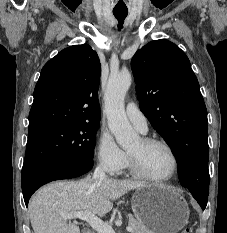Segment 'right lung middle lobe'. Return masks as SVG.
Returning a JSON list of instances; mask_svg holds the SVG:
<instances>
[{
  "instance_id": "right-lung-middle-lobe-1",
  "label": "right lung middle lobe",
  "mask_w": 227,
  "mask_h": 233,
  "mask_svg": "<svg viewBox=\"0 0 227 233\" xmlns=\"http://www.w3.org/2000/svg\"><path fill=\"white\" fill-rule=\"evenodd\" d=\"M99 122H74L29 134L22 173L46 162L93 163Z\"/></svg>"
}]
</instances>
